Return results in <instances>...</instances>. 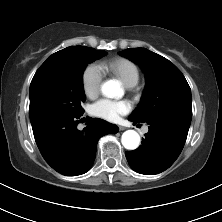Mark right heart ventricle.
Segmentation results:
<instances>
[{"instance_id":"1","label":"right heart ventricle","mask_w":222,"mask_h":222,"mask_svg":"<svg viewBox=\"0 0 222 222\" xmlns=\"http://www.w3.org/2000/svg\"><path fill=\"white\" fill-rule=\"evenodd\" d=\"M103 71L119 77L127 87L135 86L140 79V70L131 60L115 58L101 64Z\"/></svg>"}]
</instances>
